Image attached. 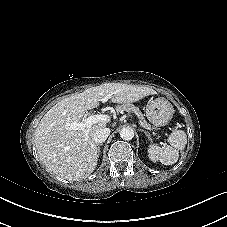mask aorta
Segmentation results:
<instances>
[{
    "label": "aorta",
    "mask_w": 227,
    "mask_h": 227,
    "mask_svg": "<svg viewBox=\"0 0 227 227\" xmlns=\"http://www.w3.org/2000/svg\"><path fill=\"white\" fill-rule=\"evenodd\" d=\"M120 137L123 140H132L134 137V131L131 127H124L120 130Z\"/></svg>",
    "instance_id": "1"
}]
</instances>
